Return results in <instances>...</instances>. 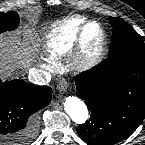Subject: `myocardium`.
Listing matches in <instances>:
<instances>
[{
    "mask_svg": "<svg viewBox=\"0 0 145 145\" xmlns=\"http://www.w3.org/2000/svg\"><path fill=\"white\" fill-rule=\"evenodd\" d=\"M95 25L100 34L98 45L93 51H89L86 46L85 33L89 26ZM107 47V34L98 21H86L79 29L74 51L72 54L73 68L79 72H84L96 67L103 59Z\"/></svg>",
    "mask_w": 145,
    "mask_h": 145,
    "instance_id": "myocardium-1",
    "label": "myocardium"
}]
</instances>
